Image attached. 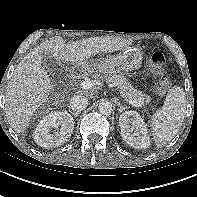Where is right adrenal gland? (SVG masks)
Masks as SVG:
<instances>
[{
    "label": "right adrenal gland",
    "mask_w": 197,
    "mask_h": 197,
    "mask_svg": "<svg viewBox=\"0 0 197 197\" xmlns=\"http://www.w3.org/2000/svg\"><path fill=\"white\" fill-rule=\"evenodd\" d=\"M70 113L72 114V115H74V117H77L79 114H77V113H74V112H72V111H70Z\"/></svg>",
    "instance_id": "1"
}]
</instances>
